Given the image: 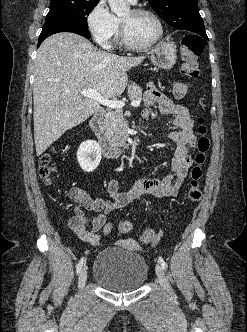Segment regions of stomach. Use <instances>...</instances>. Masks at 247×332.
<instances>
[{
  "instance_id": "stomach-1",
  "label": "stomach",
  "mask_w": 247,
  "mask_h": 332,
  "mask_svg": "<svg viewBox=\"0 0 247 332\" xmlns=\"http://www.w3.org/2000/svg\"><path fill=\"white\" fill-rule=\"evenodd\" d=\"M152 63L162 69H171L176 62V45L163 43L157 46L150 55Z\"/></svg>"
}]
</instances>
